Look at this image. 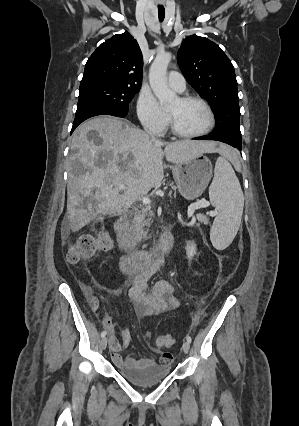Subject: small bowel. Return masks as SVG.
<instances>
[{
  "mask_svg": "<svg viewBox=\"0 0 299 426\" xmlns=\"http://www.w3.org/2000/svg\"><path fill=\"white\" fill-rule=\"evenodd\" d=\"M165 265L164 258H160L142 270L134 274L133 285L129 291V297L134 305L136 313L141 317L158 315L178 306V300L175 297V289L172 284L166 280L158 281L149 289L148 281L151 276ZM104 325L109 333L111 358L113 363L119 369L123 368H144L155 366L156 362L152 358L136 359L133 356L123 358L120 351L126 348L131 341L129 331L125 326L116 325L110 314L105 315ZM117 331L122 334V340L116 336ZM147 340H150V332L145 333ZM157 351L156 348H153ZM172 361V355L168 352L161 353L159 363L169 365Z\"/></svg>",
  "mask_w": 299,
  "mask_h": 426,
  "instance_id": "1",
  "label": "small bowel"
}]
</instances>
